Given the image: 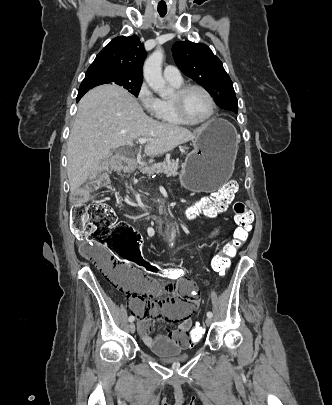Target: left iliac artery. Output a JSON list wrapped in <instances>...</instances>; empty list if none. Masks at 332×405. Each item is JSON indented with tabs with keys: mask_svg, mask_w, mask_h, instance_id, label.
<instances>
[{
	"mask_svg": "<svg viewBox=\"0 0 332 405\" xmlns=\"http://www.w3.org/2000/svg\"><path fill=\"white\" fill-rule=\"evenodd\" d=\"M212 316H213V313L210 312V311H208V312H207V317L212 318Z\"/></svg>",
	"mask_w": 332,
	"mask_h": 405,
	"instance_id": "1",
	"label": "left iliac artery"
}]
</instances>
